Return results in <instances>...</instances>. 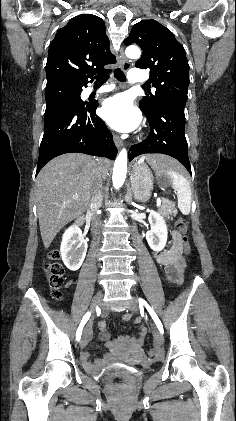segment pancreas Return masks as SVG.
Segmentation results:
<instances>
[{"label": "pancreas", "mask_w": 236, "mask_h": 421, "mask_svg": "<svg viewBox=\"0 0 236 421\" xmlns=\"http://www.w3.org/2000/svg\"><path fill=\"white\" fill-rule=\"evenodd\" d=\"M158 213H160L162 217H167V219H170V215L171 217H176L177 208H175V202L165 200V202H162L161 206H159Z\"/></svg>", "instance_id": "1"}]
</instances>
